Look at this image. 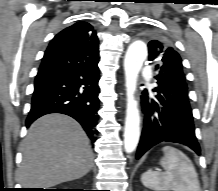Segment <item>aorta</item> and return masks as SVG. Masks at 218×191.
<instances>
[{"label": "aorta", "instance_id": "1", "mask_svg": "<svg viewBox=\"0 0 218 191\" xmlns=\"http://www.w3.org/2000/svg\"><path fill=\"white\" fill-rule=\"evenodd\" d=\"M147 58V46L142 41H134L124 58V71L127 95V107L124 129V148L127 153L133 152L140 137V113L134 94L139 72Z\"/></svg>", "mask_w": 218, "mask_h": 191}]
</instances>
